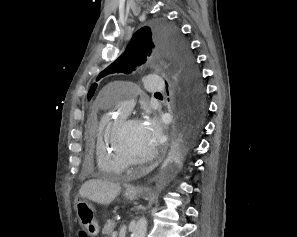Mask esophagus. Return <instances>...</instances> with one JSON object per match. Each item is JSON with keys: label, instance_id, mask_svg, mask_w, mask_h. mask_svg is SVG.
Returning a JSON list of instances; mask_svg holds the SVG:
<instances>
[{"label": "esophagus", "instance_id": "1", "mask_svg": "<svg viewBox=\"0 0 297 237\" xmlns=\"http://www.w3.org/2000/svg\"><path fill=\"white\" fill-rule=\"evenodd\" d=\"M129 189H130V190H134V188H133V187H129Z\"/></svg>", "mask_w": 297, "mask_h": 237}]
</instances>
